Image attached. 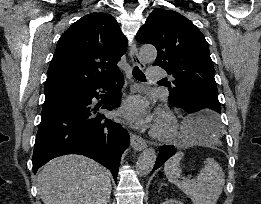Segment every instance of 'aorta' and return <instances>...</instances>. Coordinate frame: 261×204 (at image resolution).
<instances>
[{"label": "aorta", "instance_id": "1", "mask_svg": "<svg viewBox=\"0 0 261 204\" xmlns=\"http://www.w3.org/2000/svg\"><path fill=\"white\" fill-rule=\"evenodd\" d=\"M140 57L143 62H153L157 57V50L154 46L145 45L140 49ZM156 152L152 148L145 149L139 156L136 170L139 176L148 175L154 167Z\"/></svg>", "mask_w": 261, "mask_h": 204}]
</instances>
